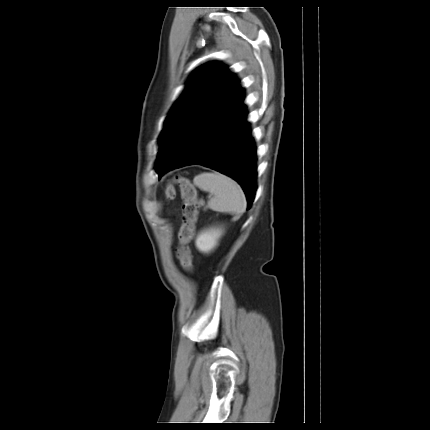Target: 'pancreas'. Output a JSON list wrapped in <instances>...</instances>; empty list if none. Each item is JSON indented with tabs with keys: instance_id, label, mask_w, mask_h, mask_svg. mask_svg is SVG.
<instances>
[{
	"instance_id": "cf45deb5",
	"label": "pancreas",
	"mask_w": 430,
	"mask_h": 430,
	"mask_svg": "<svg viewBox=\"0 0 430 430\" xmlns=\"http://www.w3.org/2000/svg\"><path fill=\"white\" fill-rule=\"evenodd\" d=\"M200 204H201V205H203V204H204V202H203V201H200ZM204 210H206V208H204Z\"/></svg>"
}]
</instances>
